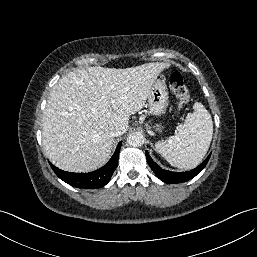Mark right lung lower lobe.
Returning a JSON list of instances; mask_svg holds the SVG:
<instances>
[{
	"label": "right lung lower lobe",
	"mask_w": 257,
	"mask_h": 257,
	"mask_svg": "<svg viewBox=\"0 0 257 257\" xmlns=\"http://www.w3.org/2000/svg\"><path fill=\"white\" fill-rule=\"evenodd\" d=\"M122 142L118 143L115 153L106 165L90 173H71L60 170L50 163L55 174L71 186L83 189H98L106 185L118 165Z\"/></svg>",
	"instance_id": "obj_1"
}]
</instances>
